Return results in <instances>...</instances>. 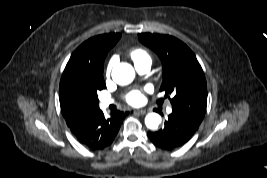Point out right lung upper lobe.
<instances>
[{"mask_svg": "<svg viewBox=\"0 0 267 178\" xmlns=\"http://www.w3.org/2000/svg\"><path fill=\"white\" fill-rule=\"evenodd\" d=\"M120 37L119 33H109L92 37L82 43L71 55L62 78L79 74L103 77L105 57Z\"/></svg>", "mask_w": 267, "mask_h": 178, "instance_id": "obj_1", "label": "right lung upper lobe"}]
</instances>
